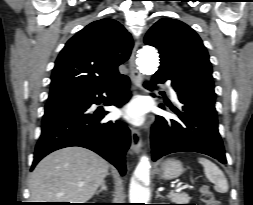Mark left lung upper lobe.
<instances>
[{
  "label": "left lung upper lobe",
  "mask_w": 253,
  "mask_h": 205,
  "mask_svg": "<svg viewBox=\"0 0 253 205\" xmlns=\"http://www.w3.org/2000/svg\"><path fill=\"white\" fill-rule=\"evenodd\" d=\"M144 42L158 48L160 67L170 69L191 87L215 99L209 55L192 28L179 20L163 18L150 28Z\"/></svg>",
  "instance_id": "1"
}]
</instances>
